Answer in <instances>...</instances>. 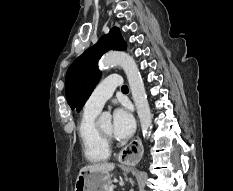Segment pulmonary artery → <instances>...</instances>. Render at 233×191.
<instances>
[{
  "label": "pulmonary artery",
  "instance_id": "pulmonary-artery-1",
  "mask_svg": "<svg viewBox=\"0 0 233 191\" xmlns=\"http://www.w3.org/2000/svg\"><path fill=\"white\" fill-rule=\"evenodd\" d=\"M121 85L122 80L118 75H110L103 79L88 98L85 110L99 113L114 90Z\"/></svg>",
  "mask_w": 233,
  "mask_h": 191
}]
</instances>
